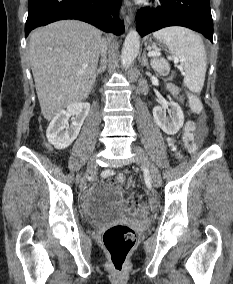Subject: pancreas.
I'll return each mask as SVG.
<instances>
[{
	"mask_svg": "<svg viewBox=\"0 0 233 284\" xmlns=\"http://www.w3.org/2000/svg\"><path fill=\"white\" fill-rule=\"evenodd\" d=\"M151 64L154 70L157 72L163 73L168 71L167 70L168 64L164 59L154 58L152 59Z\"/></svg>",
	"mask_w": 233,
	"mask_h": 284,
	"instance_id": "obj_1",
	"label": "pancreas"
}]
</instances>
